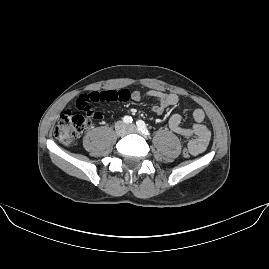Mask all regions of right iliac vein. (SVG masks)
<instances>
[{
	"label": "right iliac vein",
	"instance_id": "obj_1",
	"mask_svg": "<svg viewBox=\"0 0 269 269\" xmlns=\"http://www.w3.org/2000/svg\"><path fill=\"white\" fill-rule=\"evenodd\" d=\"M126 127L127 126L123 122L118 123L117 126H116V133L119 136L126 135Z\"/></svg>",
	"mask_w": 269,
	"mask_h": 269
}]
</instances>
